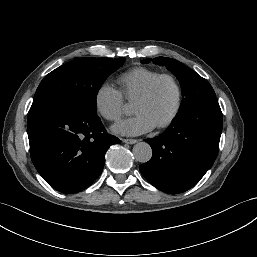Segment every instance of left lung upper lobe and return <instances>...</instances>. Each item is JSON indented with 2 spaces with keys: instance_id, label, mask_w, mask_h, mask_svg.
I'll use <instances>...</instances> for the list:
<instances>
[{
  "instance_id": "5c2ea615",
  "label": "left lung upper lobe",
  "mask_w": 257,
  "mask_h": 257,
  "mask_svg": "<svg viewBox=\"0 0 257 257\" xmlns=\"http://www.w3.org/2000/svg\"><path fill=\"white\" fill-rule=\"evenodd\" d=\"M150 61L151 59H146L142 63H149ZM153 63L166 66L181 84L183 99L176 118H180L207 103L217 101L210 83L181 62L172 58L157 57L153 59Z\"/></svg>"
}]
</instances>
